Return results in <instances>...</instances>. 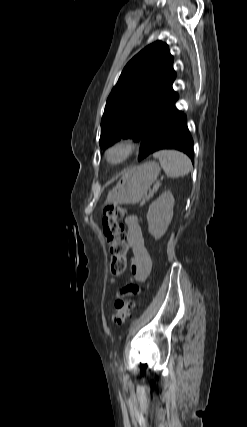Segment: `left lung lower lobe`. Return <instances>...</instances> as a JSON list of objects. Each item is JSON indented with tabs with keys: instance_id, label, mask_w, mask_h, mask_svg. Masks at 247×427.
<instances>
[{
	"instance_id": "obj_1",
	"label": "left lung lower lobe",
	"mask_w": 247,
	"mask_h": 427,
	"mask_svg": "<svg viewBox=\"0 0 247 427\" xmlns=\"http://www.w3.org/2000/svg\"><path fill=\"white\" fill-rule=\"evenodd\" d=\"M175 102L147 127L141 138L139 161L162 149H176L187 154L194 163L193 139L186 115L175 107Z\"/></svg>"
}]
</instances>
